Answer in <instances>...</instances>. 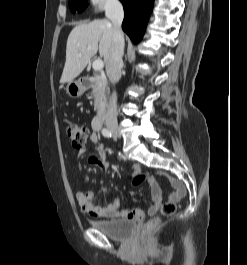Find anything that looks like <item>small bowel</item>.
Masks as SVG:
<instances>
[{"mask_svg":"<svg viewBox=\"0 0 247 265\" xmlns=\"http://www.w3.org/2000/svg\"><path fill=\"white\" fill-rule=\"evenodd\" d=\"M90 141L99 145V153L101 159L91 157L89 159L91 164L98 166L100 169L104 171H110L112 166L104 161V148L102 143L100 142V138L96 132H93L90 135ZM82 153V151L80 152ZM134 173L140 172V167L138 165L133 166ZM87 177L84 176L82 178V184H86ZM174 191L170 194L169 200L178 201L180 200L186 193V189L184 185L178 181L173 182ZM151 193L153 203L148 208L146 212L137 209H121L120 207V199L114 198L109 204L106 206H96L93 204L94 193L92 191H84L80 189L76 192L75 197L78 205L80 206L83 213L95 217V218H129L135 221H142L146 217H151L157 213L161 204H162V195L160 187L156 182L151 185Z\"/></svg>","mask_w":247,"mask_h":265,"instance_id":"obj_1","label":"small bowel"}]
</instances>
